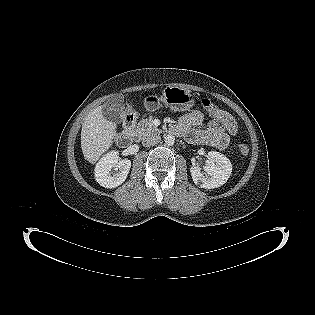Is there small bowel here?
<instances>
[{
	"label": "small bowel",
	"instance_id": "small-bowel-1",
	"mask_svg": "<svg viewBox=\"0 0 315 315\" xmlns=\"http://www.w3.org/2000/svg\"><path fill=\"white\" fill-rule=\"evenodd\" d=\"M221 113H208L209 122L206 129H200L204 121V115L198 110L191 111L180 117L173 127L177 130V135H182L189 143L212 146L223 150L230 141V136L237 132L229 129L228 120L223 118Z\"/></svg>",
	"mask_w": 315,
	"mask_h": 315
}]
</instances>
